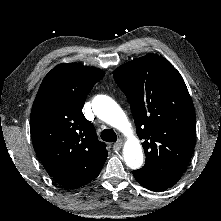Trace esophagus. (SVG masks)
Masks as SVG:
<instances>
[{"label": "esophagus", "mask_w": 221, "mask_h": 221, "mask_svg": "<svg viewBox=\"0 0 221 221\" xmlns=\"http://www.w3.org/2000/svg\"><path fill=\"white\" fill-rule=\"evenodd\" d=\"M123 146V140L119 139L116 143L113 145V150L114 151H119Z\"/></svg>", "instance_id": "obj_1"}]
</instances>
